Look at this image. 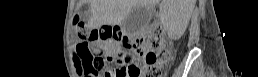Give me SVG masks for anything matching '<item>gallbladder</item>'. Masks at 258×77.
I'll return each instance as SVG.
<instances>
[{
	"instance_id": "obj_1",
	"label": "gallbladder",
	"mask_w": 258,
	"mask_h": 77,
	"mask_svg": "<svg viewBox=\"0 0 258 77\" xmlns=\"http://www.w3.org/2000/svg\"><path fill=\"white\" fill-rule=\"evenodd\" d=\"M151 18V11L144 7H134L123 21V28L127 35L138 33Z\"/></svg>"
}]
</instances>
